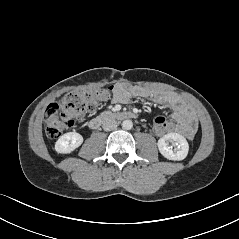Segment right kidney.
I'll return each mask as SVG.
<instances>
[{
  "label": "right kidney",
  "mask_w": 239,
  "mask_h": 239,
  "mask_svg": "<svg viewBox=\"0 0 239 239\" xmlns=\"http://www.w3.org/2000/svg\"><path fill=\"white\" fill-rule=\"evenodd\" d=\"M83 137L77 132H68L62 135L55 143V150L61 154L74 151L83 143Z\"/></svg>",
  "instance_id": "ca27d5eb"
}]
</instances>
